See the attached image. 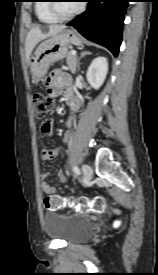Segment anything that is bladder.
<instances>
[{
	"mask_svg": "<svg viewBox=\"0 0 158 275\" xmlns=\"http://www.w3.org/2000/svg\"><path fill=\"white\" fill-rule=\"evenodd\" d=\"M43 223L48 237L67 243L82 241L88 238L93 231L92 220L78 214L46 212Z\"/></svg>",
	"mask_w": 158,
	"mask_h": 275,
	"instance_id": "1",
	"label": "bladder"
}]
</instances>
